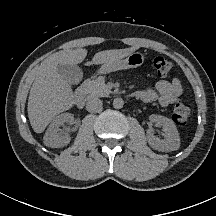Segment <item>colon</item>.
Instances as JSON below:
<instances>
[{
  "mask_svg": "<svg viewBox=\"0 0 216 216\" xmlns=\"http://www.w3.org/2000/svg\"><path fill=\"white\" fill-rule=\"evenodd\" d=\"M155 73L159 77L168 76L173 68L172 62L164 57H156L153 61ZM173 121L178 126H185L190 119V110L188 106L181 100H177L173 107Z\"/></svg>",
  "mask_w": 216,
  "mask_h": 216,
  "instance_id": "5ec220e1",
  "label": "colon"
}]
</instances>
